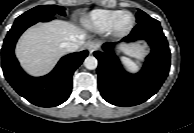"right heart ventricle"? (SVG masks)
<instances>
[{
    "label": "right heart ventricle",
    "instance_id": "1",
    "mask_svg": "<svg viewBox=\"0 0 194 133\" xmlns=\"http://www.w3.org/2000/svg\"><path fill=\"white\" fill-rule=\"evenodd\" d=\"M119 11L115 9H95L85 16L83 22L89 29L98 33H105L109 31L110 23Z\"/></svg>",
    "mask_w": 194,
    "mask_h": 133
}]
</instances>
